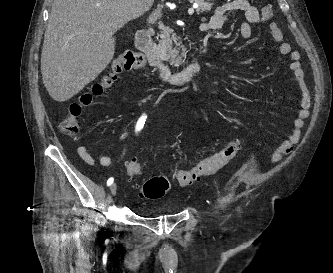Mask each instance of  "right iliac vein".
<instances>
[{"label": "right iliac vein", "mask_w": 333, "mask_h": 273, "mask_svg": "<svg viewBox=\"0 0 333 273\" xmlns=\"http://www.w3.org/2000/svg\"><path fill=\"white\" fill-rule=\"evenodd\" d=\"M110 192L113 196H115L116 192H117V184L113 183L110 187Z\"/></svg>", "instance_id": "1"}]
</instances>
